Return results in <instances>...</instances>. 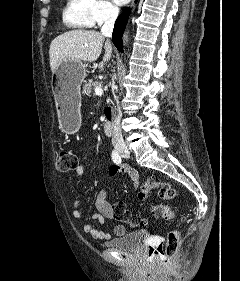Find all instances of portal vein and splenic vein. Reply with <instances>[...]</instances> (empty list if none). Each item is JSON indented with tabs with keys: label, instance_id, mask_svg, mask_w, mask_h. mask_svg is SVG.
<instances>
[{
	"label": "portal vein and splenic vein",
	"instance_id": "1",
	"mask_svg": "<svg viewBox=\"0 0 240 281\" xmlns=\"http://www.w3.org/2000/svg\"><path fill=\"white\" fill-rule=\"evenodd\" d=\"M95 94L98 96H102L103 90L100 87H95Z\"/></svg>",
	"mask_w": 240,
	"mask_h": 281
}]
</instances>
